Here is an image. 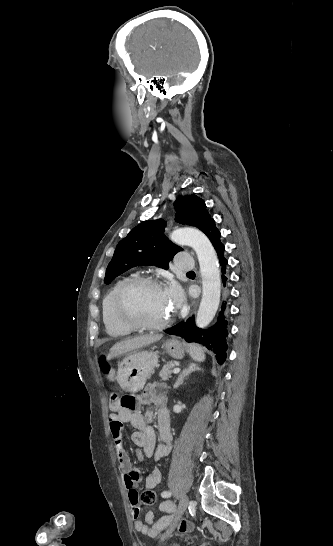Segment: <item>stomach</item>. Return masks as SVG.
I'll use <instances>...</instances> for the list:
<instances>
[{"label": "stomach", "instance_id": "1", "mask_svg": "<svg viewBox=\"0 0 333 546\" xmlns=\"http://www.w3.org/2000/svg\"><path fill=\"white\" fill-rule=\"evenodd\" d=\"M163 347L175 359H182L187 351L186 345L174 338L166 340ZM157 365L156 352L134 351L119 363L116 378L123 390L135 393L143 389Z\"/></svg>", "mask_w": 333, "mask_h": 546}]
</instances>
